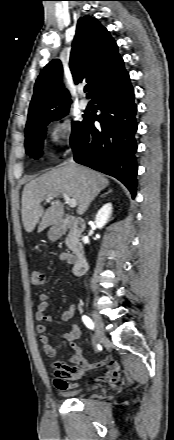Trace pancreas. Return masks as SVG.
I'll return each instance as SVG.
<instances>
[{"label":"pancreas","mask_w":174,"mask_h":440,"mask_svg":"<svg viewBox=\"0 0 174 440\" xmlns=\"http://www.w3.org/2000/svg\"><path fill=\"white\" fill-rule=\"evenodd\" d=\"M65 243L69 249H73L76 245V239L71 233H69Z\"/></svg>","instance_id":"1"}]
</instances>
